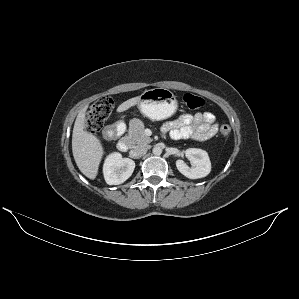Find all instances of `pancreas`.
<instances>
[{"mask_svg":"<svg viewBox=\"0 0 299 299\" xmlns=\"http://www.w3.org/2000/svg\"><path fill=\"white\" fill-rule=\"evenodd\" d=\"M144 124L140 122L135 124L133 121L130 123L128 138L133 144H148L152 142V139L145 135Z\"/></svg>","mask_w":299,"mask_h":299,"instance_id":"obj_1","label":"pancreas"}]
</instances>
